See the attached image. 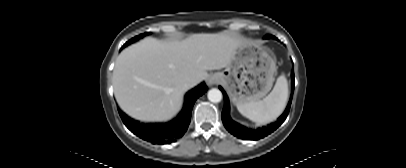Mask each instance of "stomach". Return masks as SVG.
<instances>
[{"label":"stomach","instance_id":"stomach-1","mask_svg":"<svg viewBox=\"0 0 406 168\" xmlns=\"http://www.w3.org/2000/svg\"><path fill=\"white\" fill-rule=\"evenodd\" d=\"M276 70L275 57L268 49L256 43H245L232 62L215 75L219 76L232 102L239 106L265 97L272 88Z\"/></svg>","mask_w":406,"mask_h":168}]
</instances>
